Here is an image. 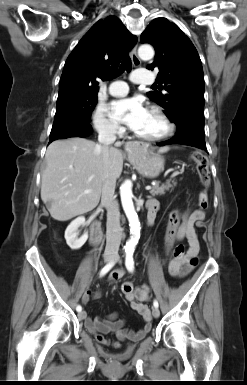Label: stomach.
<instances>
[{"label": "stomach", "mask_w": 247, "mask_h": 385, "mask_svg": "<svg viewBox=\"0 0 247 385\" xmlns=\"http://www.w3.org/2000/svg\"><path fill=\"white\" fill-rule=\"evenodd\" d=\"M128 160L139 174L148 178L157 177L164 169V158L146 146L137 145L135 149L129 151Z\"/></svg>", "instance_id": "0dacf381"}]
</instances>
